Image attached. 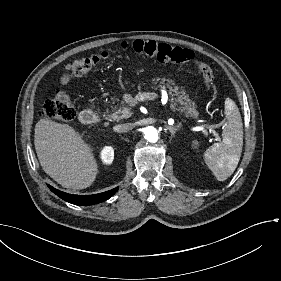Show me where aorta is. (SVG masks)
Wrapping results in <instances>:
<instances>
[{"label": "aorta", "mask_w": 281, "mask_h": 281, "mask_svg": "<svg viewBox=\"0 0 281 281\" xmlns=\"http://www.w3.org/2000/svg\"><path fill=\"white\" fill-rule=\"evenodd\" d=\"M144 138L152 143L158 140V131L153 126H148L144 129Z\"/></svg>", "instance_id": "762f6f07"}]
</instances>
